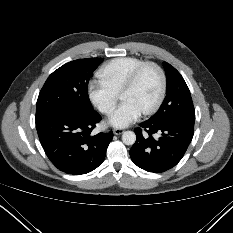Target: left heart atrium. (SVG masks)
Instances as JSON below:
<instances>
[{"label":"left heart atrium","instance_id":"left-heart-atrium-1","mask_svg":"<svg viewBox=\"0 0 233 233\" xmlns=\"http://www.w3.org/2000/svg\"><path fill=\"white\" fill-rule=\"evenodd\" d=\"M143 111L131 101H123L111 115L108 122L115 127H126L135 122Z\"/></svg>","mask_w":233,"mask_h":233}]
</instances>
